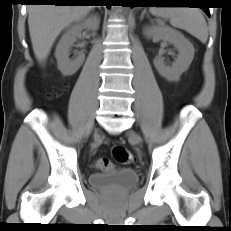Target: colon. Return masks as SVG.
I'll use <instances>...</instances> for the list:
<instances>
[{"label":"colon","instance_id":"1","mask_svg":"<svg viewBox=\"0 0 231 231\" xmlns=\"http://www.w3.org/2000/svg\"><path fill=\"white\" fill-rule=\"evenodd\" d=\"M112 156L117 162L123 165H131L134 162L133 154L123 146L114 147ZM95 165L100 170H111L113 168V164L108 158H100L96 161Z\"/></svg>","mask_w":231,"mask_h":231}]
</instances>
